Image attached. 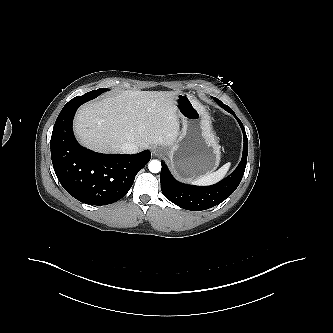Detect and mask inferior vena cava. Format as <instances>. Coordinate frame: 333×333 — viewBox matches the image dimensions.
Here are the masks:
<instances>
[{"label": "inferior vena cava", "mask_w": 333, "mask_h": 333, "mask_svg": "<svg viewBox=\"0 0 333 333\" xmlns=\"http://www.w3.org/2000/svg\"><path fill=\"white\" fill-rule=\"evenodd\" d=\"M120 150L124 154H135L139 151V148L134 143L126 142V143L122 144V146L120 147Z\"/></svg>", "instance_id": "obj_1"}]
</instances>
